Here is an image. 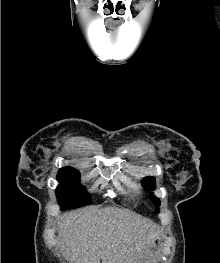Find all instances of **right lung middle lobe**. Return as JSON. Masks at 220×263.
<instances>
[{
    "label": "right lung middle lobe",
    "instance_id": "right-lung-middle-lobe-1",
    "mask_svg": "<svg viewBox=\"0 0 220 263\" xmlns=\"http://www.w3.org/2000/svg\"><path fill=\"white\" fill-rule=\"evenodd\" d=\"M79 176V172L73 168L64 167L59 170L57 178L60 186L56 189V196L62 210L84 206L91 202L90 195L79 184Z\"/></svg>",
    "mask_w": 220,
    "mask_h": 263
}]
</instances>
